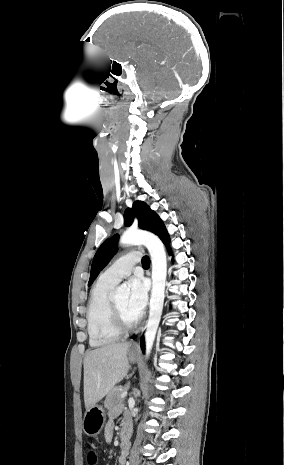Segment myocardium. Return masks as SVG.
Segmentation results:
<instances>
[{
	"label": "myocardium",
	"instance_id": "f54148a6",
	"mask_svg": "<svg viewBox=\"0 0 284 465\" xmlns=\"http://www.w3.org/2000/svg\"><path fill=\"white\" fill-rule=\"evenodd\" d=\"M111 321L109 325L112 331L118 336L128 335L138 326L140 318L138 317L132 324H125L126 319L122 316L115 301L110 300Z\"/></svg>",
	"mask_w": 284,
	"mask_h": 465
}]
</instances>
